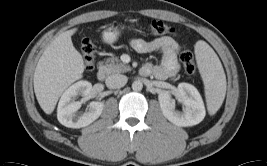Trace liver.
<instances>
[{
  "instance_id": "6515ba94",
  "label": "liver",
  "mask_w": 267,
  "mask_h": 166,
  "mask_svg": "<svg viewBox=\"0 0 267 166\" xmlns=\"http://www.w3.org/2000/svg\"><path fill=\"white\" fill-rule=\"evenodd\" d=\"M77 28L57 36L44 50L34 72V92L46 114H51L61 94L83 76L82 55L73 46L71 36Z\"/></svg>"
}]
</instances>
